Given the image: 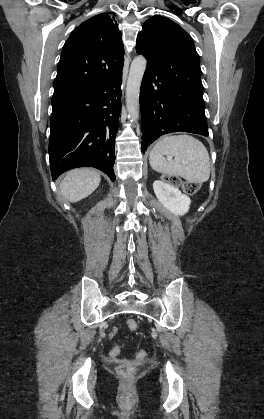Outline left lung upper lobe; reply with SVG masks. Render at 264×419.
<instances>
[{
    "instance_id": "5c2ea615",
    "label": "left lung upper lobe",
    "mask_w": 264,
    "mask_h": 419,
    "mask_svg": "<svg viewBox=\"0 0 264 419\" xmlns=\"http://www.w3.org/2000/svg\"><path fill=\"white\" fill-rule=\"evenodd\" d=\"M136 51L151 52L166 78L201 82L199 55L190 35L179 25L162 16L148 19L137 36Z\"/></svg>"
}]
</instances>
